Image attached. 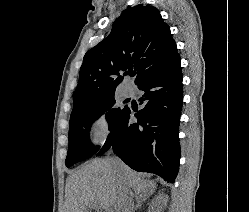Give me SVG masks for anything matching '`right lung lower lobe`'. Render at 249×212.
<instances>
[{
    "label": "right lung lower lobe",
    "mask_w": 249,
    "mask_h": 212,
    "mask_svg": "<svg viewBox=\"0 0 249 212\" xmlns=\"http://www.w3.org/2000/svg\"><path fill=\"white\" fill-rule=\"evenodd\" d=\"M138 89L144 91L134 114L129 107L110 130L98 155L109 149L128 166L140 172H151L174 183L179 169V120L183 89L180 56L158 69ZM137 123H132L133 117Z\"/></svg>",
    "instance_id": "obj_1"
}]
</instances>
